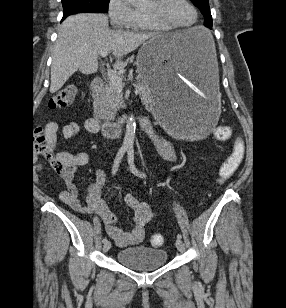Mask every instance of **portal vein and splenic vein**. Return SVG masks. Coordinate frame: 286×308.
<instances>
[{
    "instance_id": "obj_1",
    "label": "portal vein and splenic vein",
    "mask_w": 286,
    "mask_h": 308,
    "mask_svg": "<svg viewBox=\"0 0 286 308\" xmlns=\"http://www.w3.org/2000/svg\"><path fill=\"white\" fill-rule=\"evenodd\" d=\"M100 56L102 57H106L108 55V51H101L99 53ZM107 74L108 77L110 79V81L112 82V84L114 85V87L118 90V91H122L123 90V84H122V79L117 75V73L112 70V69H108L107 70ZM135 93L136 94H140L141 91L139 88L135 89Z\"/></svg>"
}]
</instances>
